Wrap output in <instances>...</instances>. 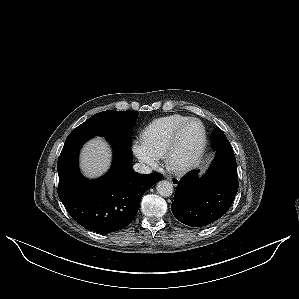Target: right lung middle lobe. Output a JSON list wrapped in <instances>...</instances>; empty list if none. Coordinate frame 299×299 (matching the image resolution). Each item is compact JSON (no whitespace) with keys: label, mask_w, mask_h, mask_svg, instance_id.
Listing matches in <instances>:
<instances>
[{"label":"right lung middle lobe","mask_w":299,"mask_h":299,"mask_svg":"<svg viewBox=\"0 0 299 299\" xmlns=\"http://www.w3.org/2000/svg\"><path fill=\"white\" fill-rule=\"evenodd\" d=\"M138 112H119L108 110L97 113L75 128L71 134L102 136L107 139H120L130 146V133Z\"/></svg>","instance_id":"1"}]
</instances>
